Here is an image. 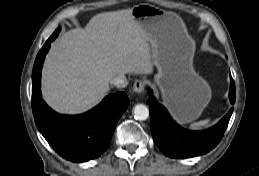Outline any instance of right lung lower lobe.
I'll return each mask as SVG.
<instances>
[{
  "instance_id": "1",
  "label": "right lung lower lobe",
  "mask_w": 259,
  "mask_h": 176,
  "mask_svg": "<svg viewBox=\"0 0 259 176\" xmlns=\"http://www.w3.org/2000/svg\"><path fill=\"white\" fill-rule=\"evenodd\" d=\"M56 30L39 51L32 72V110L38 130L63 158L85 162L100 156L109 146L116 124L127 109L124 92L111 94L92 110L76 115L58 114L41 98V70Z\"/></svg>"
}]
</instances>
